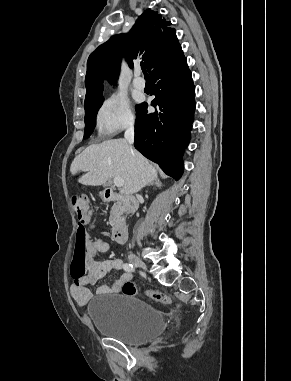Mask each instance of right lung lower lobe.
<instances>
[{"label": "right lung lower lobe", "mask_w": 291, "mask_h": 381, "mask_svg": "<svg viewBox=\"0 0 291 381\" xmlns=\"http://www.w3.org/2000/svg\"><path fill=\"white\" fill-rule=\"evenodd\" d=\"M150 78L152 95L156 96L152 106L158 110L148 113L146 103L137 106L134 145L178 180L195 110V87L183 51L153 70Z\"/></svg>", "instance_id": "obj_1"}]
</instances>
